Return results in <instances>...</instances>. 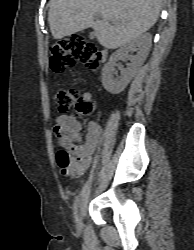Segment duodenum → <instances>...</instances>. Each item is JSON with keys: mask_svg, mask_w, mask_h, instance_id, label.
I'll list each match as a JSON object with an SVG mask.
<instances>
[{"mask_svg": "<svg viewBox=\"0 0 194 250\" xmlns=\"http://www.w3.org/2000/svg\"><path fill=\"white\" fill-rule=\"evenodd\" d=\"M105 57H106V52L103 53V57L102 58L105 59Z\"/></svg>", "mask_w": 194, "mask_h": 250, "instance_id": "duodenum-1", "label": "duodenum"}]
</instances>
